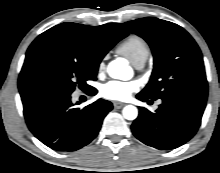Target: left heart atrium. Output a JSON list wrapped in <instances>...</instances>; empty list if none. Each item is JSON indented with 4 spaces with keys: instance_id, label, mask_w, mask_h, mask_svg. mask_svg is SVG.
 I'll list each match as a JSON object with an SVG mask.
<instances>
[{
    "instance_id": "1",
    "label": "left heart atrium",
    "mask_w": 220,
    "mask_h": 173,
    "mask_svg": "<svg viewBox=\"0 0 220 173\" xmlns=\"http://www.w3.org/2000/svg\"><path fill=\"white\" fill-rule=\"evenodd\" d=\"M138 89V85L133 81H109L101 87V95L109 100H127L133 92Z\"/></svg>"
}]
</instances>
